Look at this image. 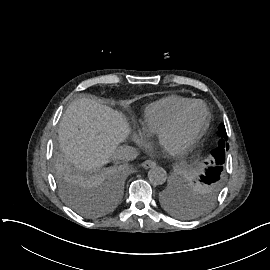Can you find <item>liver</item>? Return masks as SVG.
<instances>
[{"instance_id": "1", "label": "liver", "mask_w": 270, "mask_h": 270, "mask_svg": "<svg viewBox=\"0 0 270 270\" xmlns=\"http://www.w3.org/2000/svg\"><path fill=\"white\" fill-rule=\"evenodd\" d=\"M130 132L122 112L82 97L71 102L60 120L59 148L76 169L95 170L110 162Z\"/></svg>"}]
</instances>
